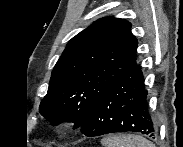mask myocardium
I'll list each match as a JSON object with an SVG mask.
<instances>
[{
    "label": "myocardium",
    "instance_id": "myocardium-1",
    "mask_svg": "<svg viewBox=\"0 0 183 147\" xmlns=\"http://www.w3.org/2000/svg\"><path fill=\"white\" fill-rule=\"evenodd\" d=\"M66 126V121L64 119H61L57 123L58 128H64Z\"/></svg>",
    "mask_w": 183,
    "mask_h": 147
}]
</instances>
